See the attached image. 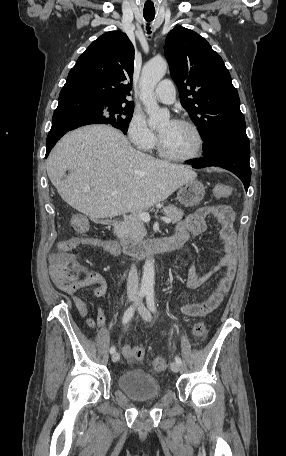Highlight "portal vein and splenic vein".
Segmentation results:
<instances>
[{"instance_id":"1","label":"portal vein and splenic vein","mask_w":286,"mask_h":456,"mask_svg":"<svg viewBox=\"0 0 286 456\" xmlns=\"http://www.w3.org/2000/svg\"><path fill=\"white\" fill-rule=\"evenodd\" d=\"M87 190H90V188H87ZM138 217L145 221V222H149L150 221V215L149 213L147 212H139L138 213ZM161 219L165 222V223H171V219L168 218V217H161Z\"/></svg>"}]
</instances>
